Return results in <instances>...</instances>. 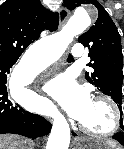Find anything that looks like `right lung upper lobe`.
I'll use <instances>...</instances> for the list:
<instances>
[{"mask_svg": "<svg viewBox=\"0 0 124 149\" xmlns=\"http://www.w3.org/2000/svg\"><path fill=\"white\" fill-rule=\"evenodd\" d=\"M59 14L40 0H6L0 6V61L18 59L40 33L58 28Z\"/></svg>", "mask_w": 124, "mask_h": 149, "instance_id": "obj_1", "label": "right lung upper lobe"}]
</instances>
